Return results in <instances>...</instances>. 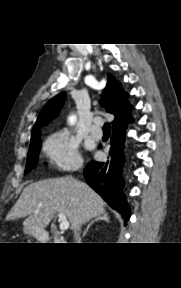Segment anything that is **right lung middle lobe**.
<instances>
[{
    "instance_id": "1",
    "label": "right lung middle lobe",
    "mask_w": 181,
    "mask_h": 288,
    "mask_svg": "<svg viewBox=\"0 0 181 288\" xmlns=\"http://www.w3.org/2000/svg\"><path fill=\"white\" fill-rule=\"evenodd\" d=\"M40 148H41V140L39 136L37 139L31 141L30 143L25 173L31 171L37 164Z\"/></svg>"
}]
</instances>
